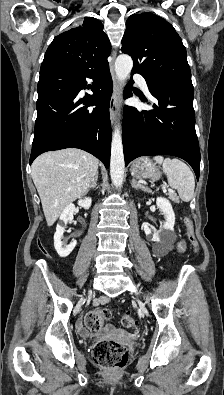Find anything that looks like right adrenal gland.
<instances>
[{
	"label": "right adrenal gland",
	"instance_id": "obj_1",
	"mask_svg": "<svg viewBox=\"0 0 224 395\" xmlns=\"http://www.w3.org/2000/svg\"><path fill=\"white\" fill-rule=\"evenodd\" d=\"M97 182H98V174H96V176H95L94 180L92 181L89 189L96 188Z\"/></svg>",
	"mask_w": 224,
	"mask_h": 395
}]
</instances>
